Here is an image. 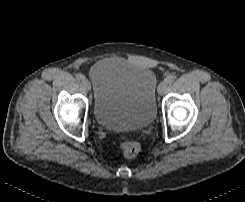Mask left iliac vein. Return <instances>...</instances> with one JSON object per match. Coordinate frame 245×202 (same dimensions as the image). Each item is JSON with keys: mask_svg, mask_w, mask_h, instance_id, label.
Here are the masks:
<instances>
[{"mask_svg": "<svg viewBox=\"0 0 245 202\" xmlns=\"http://www.w3.org/2000/svg\"><path fill=\"white\" fill-rule=\"evenodd\" d=\"M167 89V83L165 81H162L158 86V93L161 95L163 94Z\"/></svg>", "mask_w": 245, "mask_h": 202, "instance_id": "4c4485c4", "label": "left iliac vein"}]
</instances>
